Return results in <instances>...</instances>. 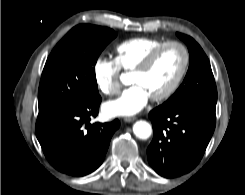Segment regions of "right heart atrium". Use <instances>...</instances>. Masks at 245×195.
Listing matches in <instances>:
<instances>
[{"instance_id": "1", "label": "right heart atrium", "mask_w": 245, "mask_h": 195, "mask_svg": "<svg viewBox=\"0 0 245 195\" xmlns=\"http://www.w3.org/2000/svg\"><path fill=\"white\" fill-rule=\"evenodd\" d=\"M120 68L114 59L98 57L93 65V76L99 91L107 96L120 92Z\"/></svg>"}]
</instances>
